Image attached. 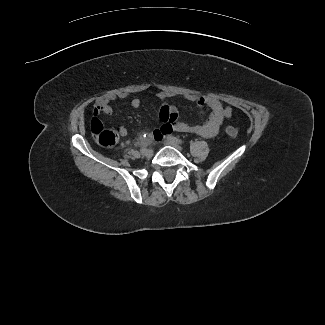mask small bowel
<instances>
[{
  "label": "small bowel",
  "instance_id": "obj_1",
  "mask_svg": "<svg viewBox=\"0 0 325 325\" xmlns=\"http://www.w3.org/2000/svg\"><path fill=\"white\" fill-rule=\"evenodd\" d=\"M179 96L187 101L194 102L200 107H206L210 110V115L201 123L197 125H190L182 122L179 119L178 109L175 106L169 105L167 100L171 97ZM129 95L125 92L120 93H107L99 97L94 105V115L103 113L111 115L113 110L110 103L118 99H126ZM158 99L161 101L159 109V118L164 124L155 129L153 134L157 138L169 134L171 131L193 133L203 137H214L218 134L223 122L229 119L232 115L231 108L225 106L220 100L210 97L202 96L193 93H172L161 91L157 94ZM141 104L140 99L132 98L130 105L133 108H138ZM119 135H126L127 131L124 127L117 128Z\"/></svg>",
  "mask_w": 325,
  "mask_h": 325
}]
</instances>
